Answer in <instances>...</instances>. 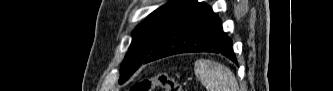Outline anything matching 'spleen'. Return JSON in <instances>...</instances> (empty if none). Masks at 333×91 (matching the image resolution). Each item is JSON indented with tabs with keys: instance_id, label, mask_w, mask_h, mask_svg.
Listing matches in <instances>:
<instances>
[{
	"instance_id": "spleen-1",
	"label": "spleen",
	"mask_w": 333,
	"mask_h": 91,
	"mask_svg": "<svg viewBox=\"0 0 333 91\" xmlns=\"http://www.w3.org/2000/svg\"><path fill=\"white\" fill-rule=\"evenodd\" d=\"M194 72L207 91H239L233 72L219 62L203 58L196 60Z\"/></svg>"
}]
</instances>
